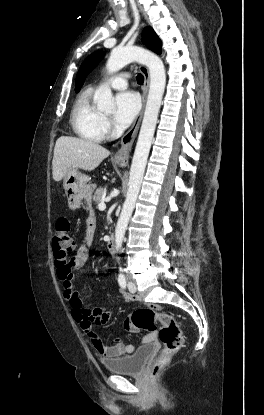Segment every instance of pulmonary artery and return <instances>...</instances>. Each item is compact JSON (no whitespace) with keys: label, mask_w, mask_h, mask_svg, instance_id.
<instances>
[{"label":"pulmonary artery","mask_w":264,"mask_h":415,"mask_svg":"<svg viewBox=\"0 0 264 415\" xmlns=\"http://www.w3.org/2000/svg\"><path fill=\"white\" fill-rule=\"evenodd\" d=\"M106 85L110 86L113 89L123 90L126 89L128 86V75L125 73H120L112 78H110Z\"/></svg>","instance_id":"obj_1"}]
</instances>
